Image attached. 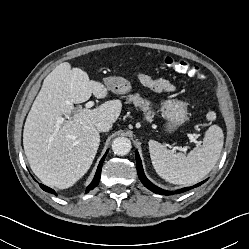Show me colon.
Segmentation results:
<instances>
[{"mask_svg": "<svg viewBox=\"0 0 249 249\" xmlns=\"http://www.w3.org/2000/svg\"><path fill=\"white\" fill-rule=\"evenodd\" d=\"M164 65L174 69L179 73L186 74L191 78H203L201 69L198 66L189 63L188 61L167 56L164 58Z\"/></svg>", "mask_w": 249, "mask_h": 249, "instance_id": "1", "label": "colon"}]
</instances>
